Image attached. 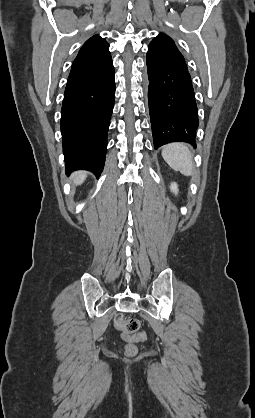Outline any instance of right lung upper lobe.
I'll return each mask as SVG.
<instances>
[{
  "mask_svg": "<svg viewBox=\"0 0 255 418\" xmlns=\"http://www.w3.org/2000/svg\"><path fill=\"white\" fill-rule=\"evenodd\" d=\"M108 56H110L108 43L105 39L95 35L84 43L72 66L93 63Z\"/></svg>",
  "mask_w": 255,
  "mask_h": 418,
  "instance_id": "1",
  "label": "right lung upper lobe"
}]
</instances>
